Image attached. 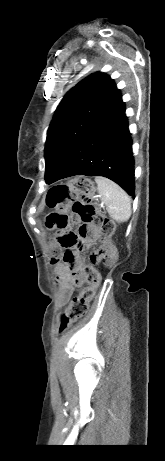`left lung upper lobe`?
<instances>
[{
  "instance_id": "5c2ea615",
  "label": "left lung upper lobe",
  "mask_w": 165,
  "mask_h": 461,
  "mask_svg": "<svg viewBox=\"0 0 165 461\" xmlns=\"http://www.w3.org/2000/svg\"><path fill=\"white\" fill-rule=\"evenodd\" d=\"M119 93L114 81L101 72L89 75L68 91L47 132L44 155L47 183Z\"/></svg>"
}]
</instances>
